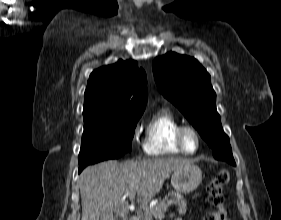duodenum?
Masks as SVG:
<instances>
[{
  "instance_id": "410a0bca",
  "label": "duodenum",
  "mask_w": 281,
  "mask_h": 220,
  "mask_svg": "<svg viewBox=\"0 0 281 220\" xmlns=\"http://www.w3.org/2000/svg\"><path fill=\"white\" fill-rule=\"evenodd\" d=\"M129 220H139L137 217H131Z\"/></svg>"
}]
</instances>
